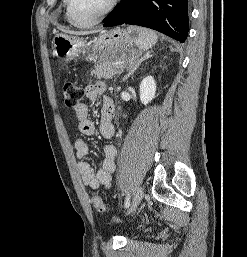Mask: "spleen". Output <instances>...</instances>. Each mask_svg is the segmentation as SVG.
<instances>
[{"instance_id": "spleen-1", "label": "spleen", "mask_w": 247, "mask_h": 257, "mask_svg": "<svg viewBox=\"0 0 247 257\" xmlns=\"http://www.w3.org/2000/svg\"><path fill=\"white\" fill-rule=\"evenodd\" d=\"M128 31L136 34L134 42L139 49L144 51L155 45L158 39L154 31L146 28L129 26Z\"/></svg>"}]
</instances>
